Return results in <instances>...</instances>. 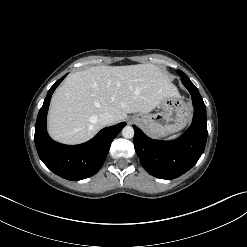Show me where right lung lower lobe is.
<instances>
[{
    "instance_id": "1",
    "label": "right lung lower lobe",
    "mask_w": 247,
    "mask_h": 247,
    "mask_svg": "<svg viewBox=\"0 0 247 247\" xmlns=\"http://www.w3.org/2000/svg\"><path fill=\"white\" fill-rule=\"evenodd\" d=\"M65 76L47 93L37 117L34 139L40 159L52 172L68 180H82L99 171L113 139L126 123L104 128L93 139L80 145L69 146L53 141L46 131V117L51 96Z\"/></svg>"
}]
</instances>
